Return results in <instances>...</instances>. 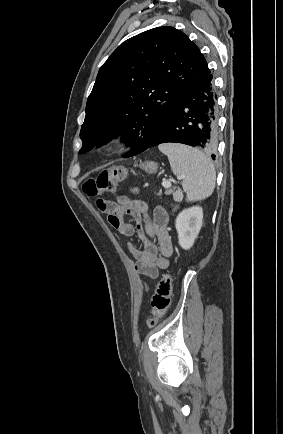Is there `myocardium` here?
I'll use <instances>...</instances> for the list:
<instances>
[{
	"label": "myocardium",
	"mask_w": 283,
	"mask_h": 434,
	"mask_svg": "<svg viewBox=\"0 0 283 434\" xmlns=\"http://www.w3.org/2000/svg\"><path fill=\"white\" fill-rule=\"evenodd\" d=\"M118 148V141L111 137L103 140L100 144V150L103 153L111 154L114 153Z\"/></svg>",
	"instance_id": "myocardium-1"
}]
</instances>
